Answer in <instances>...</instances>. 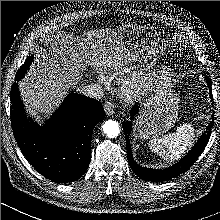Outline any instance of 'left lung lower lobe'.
Here are the masks:
<instances>
[{
    "mask_svg": "<svg viewBox=\"0 0 220 220\" xmlns=\"http://www.w3.org/2000/svg\"><path fill=\"white\" fill-rule=\"evenodd\" d=\"M205 80L208 84L209 90H210V98L213 100V95L211 91V80L209 77H205ZM140 107H133L130 111V119L131 121L123 122V130L126 137V148H127V156L129 164L137 176H139L141 179L146 181H152V182H162L169 179H172L184 172H186L190 167L195 163V161L198 159V157L201 155L203 150L205 149L213 127V116L212 121L209 123V126L207 127L206 131L202 134L198 142L194 145L192 150L178 163H176L171 168L163 169V170H153V169H147L144 167L139 166L133 159L130 143L128 141L130 132L132 130V121L134 120L135 116L138 114ZM214 115V114H213Z\"/></svg>",
    "mask_w": 220,
    "mask_h": 220,
    "instance_id": "obj_1",
    "label": "left lung lower lobe"
}]
</instances>
